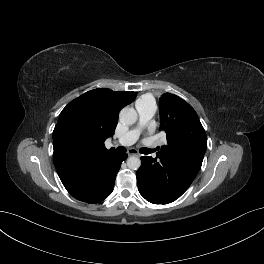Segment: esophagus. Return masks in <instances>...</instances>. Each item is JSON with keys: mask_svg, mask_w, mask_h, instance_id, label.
Instances as JSON below:
<instances>
[{"mask_svg": "<svg viewBox=\"0 0 264 264\" xmlns=\"http://www.w3.org/2000/svg\"><path fill=\"white\" fill-rule=\"evenodd\" d=\"M127 154L129 156H140L139 152L136 149H129Z\"/></svg>", "mask_w": 264, "mask_h": 264, "instance_id": "obj_1", "label": "esophagus"}]
</instances>
